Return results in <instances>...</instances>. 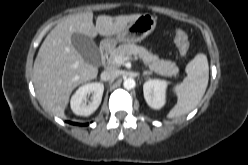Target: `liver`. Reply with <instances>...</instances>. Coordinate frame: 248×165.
<instances>
[{
  "label": "liver",
  "mask_w": 248,
  "mask_h": 165,
  "mask_svg": "<svg viewBox=\"0 0 248 165\" xmlns=\"http://www.w3.org/2000/svg\"><path fill=\"white\" fill-rule=\"evenodd\" d=\"M141 14L111 17L93 13L70 15L58 23L42 43L33 66V83L41 106L57 116H65L70 94L80 84L96 78L98 68L86 63L72 45L74 33L94 38L112 36Z\"/></svg>",
  "instance_id": "obj_1"
}]
</instances>
